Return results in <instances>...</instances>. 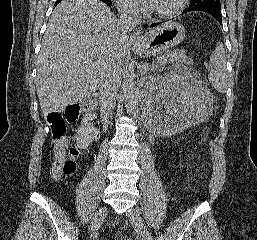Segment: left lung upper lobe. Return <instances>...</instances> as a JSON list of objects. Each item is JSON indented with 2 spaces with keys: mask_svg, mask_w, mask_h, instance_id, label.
Instances as JSON below:
<instances>
[{
  "mask_svg": "<svg viewBox=\"0 0 257 240\" xmlns=\"http://www.w3.org/2000/svg\"><path fill=\"white\" fill-rule=\"evenodd\" d=\"M221 7L220 0H190L189 9Z\"/></svg>",
  "mask_w": 257,
  "mask_h": 240,
  "instance_id": "1",
  "label": "left lung upper lobe"
}]
</instances>
